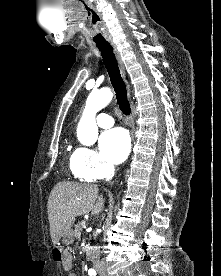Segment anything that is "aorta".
<instances>
[{"mask_svg":"<svg viewBox=\"0 0 221 276\" xmlns=\"http://www.w3.org/2000/svg\"><path fill=\"white\" fill-rule=\"evenodd\" d=\"M113 93L109 88L93 91L88 96L83 115L78 123L77 137L86 146L93 145L98 138V127L95 116L112 100Z\"/></svg>","mask_w":221,"mask_h":276,"instance_id":"762f6f07","label":"aorta"}]
</instances>
